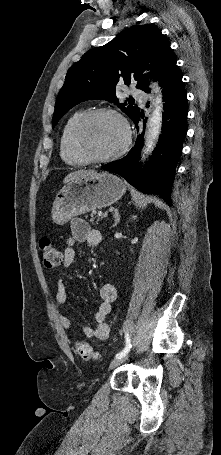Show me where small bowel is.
Here are the masks:
<instances>
[{
    "instance_id": "1",
    "label": "small bowel",
    "mask_w": 221,
    "mask_h": 455,
    "mask_svg": "<svg viewBox=\"0 0 221 455\" xmlns=\"http://www.w3.org/2000/svg\"><path fill=\"white\" fill-rule=\"evenodd\" d=\"M102 241L100 231L90 228V226L80 219H74L71 223L69 236L65 247L63 248V268L68 269L76 259L75 245L87 243L90 246H98ZM100 302L95 312V327L84 326L83 333L89 339L99 341L106 340L109 336L110 327L106 322V318L111 311L112 304L117 298L116 287L111 283H105L100 289ZM68 294L63 280H59L57 284L56 301L59 304L67 302ZM60 325L69 330L72 327V322L65 315L59 316Z\"/></svg>"
}]
</instances>
